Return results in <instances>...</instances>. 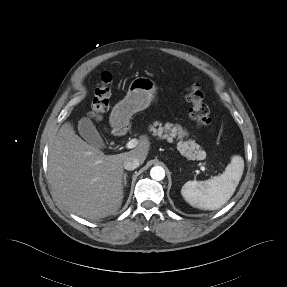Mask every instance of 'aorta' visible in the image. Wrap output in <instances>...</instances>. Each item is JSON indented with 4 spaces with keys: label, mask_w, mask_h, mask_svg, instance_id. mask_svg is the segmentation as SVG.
I'll use <instances>...</instances> for the list:
<instances>
[{
    "label": "aorta",
    "mask_w": 287,
    "mask_h": 287,
    "mask_svg": "<svg viewBox=\"0 0 287 287\" xmlns=\"http://www.w3.org/2000/svg\"><path fill=\"white\" fill-rule=\"evenodd\" d=\"M150 176L153 180L161 181L165 177V170L161 166H154L150 170Z\"/></svg>",
    "instance_id": "obj_1"
}]
</instances>
